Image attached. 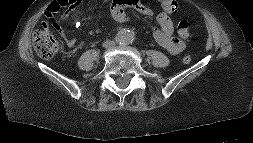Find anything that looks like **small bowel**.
<instances>
[{
  "mask_svg": "<svg viewBox=\"0 0 253 143\" xmlns=\"http://www.w3.org/2000/svg\"><path fill=\"white\" fill-rule=\"evenodd\" d=\"M100 2H110V16L114 23L122 24L128 21L126 9L134 10L135 12L145 16H155L158 27L154 30V38L156 42L163 47L167 52L172 55L181 53L186 46L183 37L174 36L173 22L170 18V14L175 12L176 4L173 0H158L161 10L155 12L152 7L141 2L140 0H99ZM48 17H53L47 11ZM65 16H62L59 23L54 24L55 29L59 32L63 41L68 47H73L76 43L74 37H72L64 26Z\"/></svg>",
  "mask_w": 253,
  "mask_h": 143,
  "instance_id": "obj_1",
  "label": "small bowel"
}]
</instances>
